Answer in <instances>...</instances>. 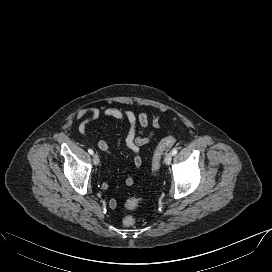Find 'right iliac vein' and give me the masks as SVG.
<instances>
[{"label":"right iliac vein","instance_id":"obj_1","mask_svg":"<svg viewBox=\"0 0 272 272\" xmlns=\"http://www.w3.org/2000/svg\"><path fill=\"white\" fill-rule=\"evenodd\" d=\"M93 163L96 166L99 165V163H100V159H99V156L97 154L93 155Z\"/></svg>","mask_w":272,"mask_h":272}]
</instances>
